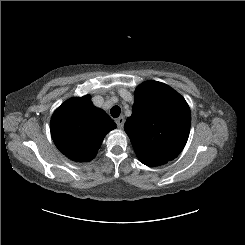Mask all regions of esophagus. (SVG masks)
<instances>
[{
  "label": "esophagus",
  "instance_id": "34e87169",
  "mask_svg": "<svg viewBox=\"0 0 245 245\" xmlns=\"http://www.w3.org/2000/svg\"><path fill=\"white\" fill-rule=\"evenodd\" d=\"M115 122H116L118 128L121 129L124 125V122H125L124 116L118 117Z\"/></svg>",
  "mask_w": 245,
  "mask_h": 245
}]
</instances>
